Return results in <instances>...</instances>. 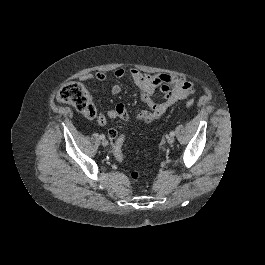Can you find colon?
<instances>
[{
	"instance_id": "colon-1",
	"label": "colon",
	"mask_w": 265,
	"mask_h": 265,
	"mask_svg": "<svg viewBox=\"0 0 265 265\" xmlns=\"http://www.w3.org/2000/svg\"><path fill=\"white\" fill-rule=\"evenodd\" d=\"M57 99L62 103L73 106L88 119H94L97 116L96 107L92 103L86 88L79 82H69L63 85L57 92ZM193 104L194 101L192 99L186 101L187 107H192ZM109 133L110 135L112 134V132ZM112 139H115L113 154L118 161L122 162L124 160L123 145L125 135H116ZM130 176L134 182H137L140 178V173L135 170L131 172Z\"/></svg>"
}]
</instances>
